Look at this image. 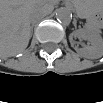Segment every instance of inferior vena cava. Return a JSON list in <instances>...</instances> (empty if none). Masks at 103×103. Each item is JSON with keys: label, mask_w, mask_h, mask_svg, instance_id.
Returning <instances> with one entry per match:
<instances>
[{"label": "inferior vena cava", "mask_w": 103, "mask_h": 103, "mask_svg": "<svg viewBox=\"0 0 103 103\" xmlns=\"http://www.w3.org/2000/svg\"><path fill=\"white\" fill-rule=\"evenodd\" d=\"M44 16H45V14L43 12H40V11L34 12L30 16V21L33 22V21L41 20Z\"/></svg>", "instance_id": "602c4592"}]
</instances>
